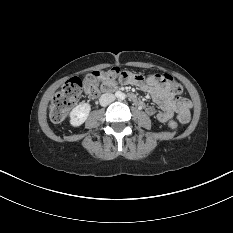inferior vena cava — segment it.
<instances>
[{
    "label": "inferior vena cava",
    "instance_id": "inferior-vena-cava-1",
    "mask_svg": "<svg viewBox=\"0 0 233 233\" xmlns=\"http://www.w3.org/2000/svg\"><path fill=\"white\" fill-rule=\"evenodd\" d=\"M115 100V95L112 93H105L101 95L99 102L101 106H107Z\"/></svg>",
    "mask_w": 233,
    "mask_h": 233
}]
</instances>
